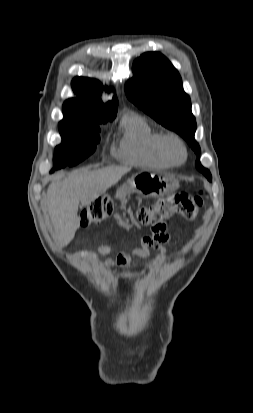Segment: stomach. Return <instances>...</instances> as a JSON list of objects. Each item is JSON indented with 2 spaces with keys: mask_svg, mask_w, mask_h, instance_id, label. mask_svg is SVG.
<instances>
[{
  "mask_svg": "<svg viewBox=\"0 0 253 413\" xmlns=\"http://www.w3.org/2000/svg\"><path fill=\"white\" fill-rule=\"evenodd\" d=\"M179 187V182L173 176H161L151 172H138L121 186L115 197L123 200L136 193L144 198H157L171 195Z\"/></svg>",
  "mask_w": 253,
  "mask_h": 413,
  "instance_id": "0dacf381",
  "label": "stomach"
}]
</instances>
